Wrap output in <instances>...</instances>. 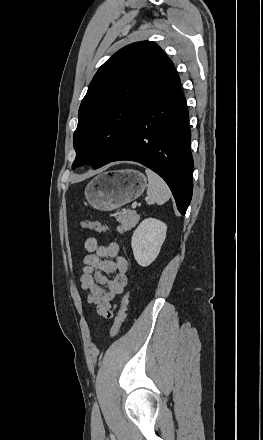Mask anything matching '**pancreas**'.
Masks as SVG:
<instances>
[{
  "mask_svg": "<svg viewBox=\"0 0 263 440\" xmlns=\"http://www.w3.org/2000/svg\"><path fill=\"white\" fill-rule=\"evenodd\" d=\"M139 219L140 217L136 214L135 211L128 210L121 213L117 220L120 223V226L117 227V231L120 233H124L131 230L133 227L136 226Z\"/></svg>",
  "mask_w": 263,
  "mask_h": 440,
  "instance_id": "obj_1",
  "label": "pancreas"
}]
</instances>
